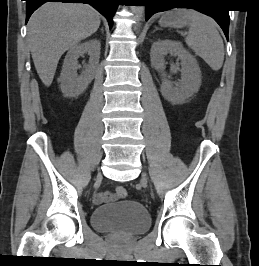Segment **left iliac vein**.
I'll list each match as a JSON object with an SVG mask.
<instances>
[{
    "mask_svg": "<svg viewBox=\"0 0 259 266\" xmlns=\"http://www.w3.org/2000/svg\"><path fill=\"white\" fill-rule=\"evenodd\" d=\"M142 182L143 184H147V175L145 173L142 174Z\"/></svg>",
    "mask_w": 259,
    "mask_h": 266,
    "instance_id": "left-iliac-vein-1",
    "label": "left iliac vein"
}]
</instances>
